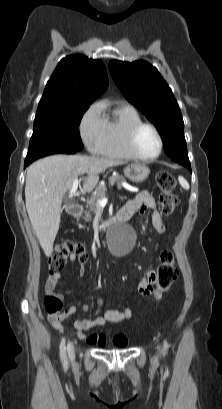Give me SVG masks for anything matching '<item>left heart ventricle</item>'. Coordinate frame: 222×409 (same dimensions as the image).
Returning a JSON list of instances; mask_svg holds the SVG:
<instances>
[{
	"mask_svg": "<svg viewBox=\"0 0 222 409\" xmlns=\"http://www.w3.org/2000/svg\"><path fill=\"white\" fill-rule=\"evenodd\" d=\"M136 147L144 156L155 155L159 149V141L155 132L150 128H143L137 135Z\"/></svg>",
	"mask_w": 222,
	"mask_h": 409,
	"instance_id": "obj_1",
	"label": "left heart ventricle"
}]
</instances>
